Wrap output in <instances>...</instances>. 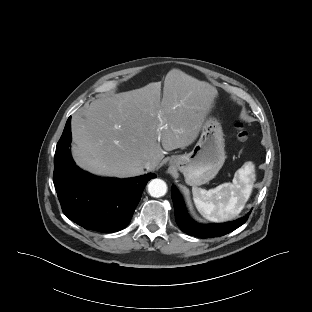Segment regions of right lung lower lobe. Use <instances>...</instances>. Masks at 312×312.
Returning a JSON list of instances; mask_svg holds the SVG:
<instances>
[{
  "label": "right lung lower lobe",
  "mask_w": 312,
  "mask_h": 312,
  "mask_svg": "<svg viewBox=\"0 0 312 312\" xmlns=\"http://www.w3.org/2000/svg\"><path fill=\"white\" fill-rule=\"evenodd\" d=\"M71 117L57 144L53 182L63 213L85 229L116 232L126 227L147 182L156 175L100 178L82 171L71 153Z\"/></svg>",
  "instance_id": "1"
}]
</instances>
